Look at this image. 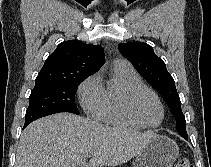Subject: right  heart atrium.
Wrapping results in <instances>:
<instances>
[{"instance_id": "right-heart-atrium-1", "label": "right heart atrium", "mask_w": 211, "mask_h": 167, "mask_svg": "<svg viewBox=\"0 0 211 167\" xmlns=\"http://www.w3.org/2000/svg\"><path fill=\"white\" fill-rule=\"evenodd\" d=\"M102 93L100 76L94 73L87 77L78 88V98L82 108L90 114L97 112L101 104Z\"/></svg>"}]
</instances>
